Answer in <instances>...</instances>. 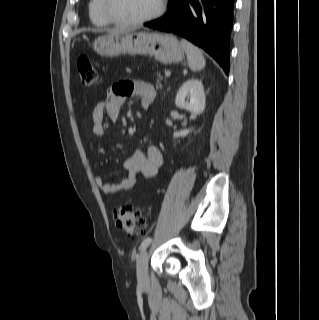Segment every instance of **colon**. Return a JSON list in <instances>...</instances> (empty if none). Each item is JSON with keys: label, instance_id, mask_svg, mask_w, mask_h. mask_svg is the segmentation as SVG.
I'll return each instance as SVG.
<instances>
[{"label": "colon", "instance_id": "obj_1", "mask_svg": "<svg viewBox=\"0 0 319 320\" xmlns=\"http://www.w3.org/2000/svg\"><path fill=\"white\" fill-rule=\"evenodd\" d=\"M77 70L81 83L84 86H92L98 80V72L85 55L77 58ZM116 224L125 234L134 238L145 231V223L138 214L128 205L117 208L114 212Z\"/></svg>", "mask_w": 319, "mask_h": 320}]
</instances>
